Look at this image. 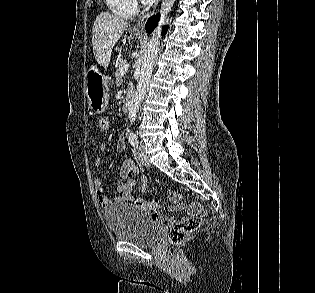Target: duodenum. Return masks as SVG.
<instances>
[{
	"mask_svg": "<svg viewBox=\"0 0 315 293\" xmlns=\"http://www.w3.org/2000/svg\"><path fill=\"white\" fill-rule=\"evenodd\" d=\"M132 102V94H128L123 102V111L127 113L129 111V108L131 106Z\"/></svg>",
	"mask_w": 315,
	"mask_h": 293,
	"instance_id": "410a0bca",
	"label": "duodenum"
}]
</instances>
